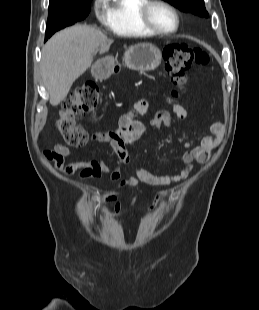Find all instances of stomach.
<instances>
[{"label":"stomach","instance_id":"0dacf381","mask_svg":"<svg viewBox=\"0 0 259 310\" xmlns=\"http://www.w3.org/2000/svg\"><path fill=\"white\" fill-rule=\"evenodd\" d=\"M162 60L161 51L149 43H139L129 47L124 54V64L127 68L135 71H152L156 69ZM113 58L106 57L98 61L92 72L96 78L104 79L112 72Z\"/></svg>","mask_w":259,"mask_h":310}]
</instances>
